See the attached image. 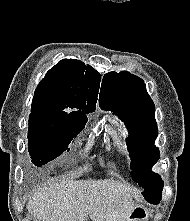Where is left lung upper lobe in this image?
<instances>
[{
    "label": "left lung upper lobe",
    "instance_id": "obj_1",
    "mask_svg": "<svg viewBox=\"0 0 190 221\" xmlns=\"http://www.w3.org/2000/svg\"><path fill=\"white\" fill-rule=\"evenodd\" d=\"M99 105L111 110L125 123L129 136L128 151L132 160V177L144 188L142 193L149 202L161 197L163 181L151 171L159 159V149L154 145L158 135L155 105L146 91L144 81L127 71L109 72L101 84Z\"/></svg>",
    "mask_w": 190,
    "mask_h": 221
}]
</instances>
